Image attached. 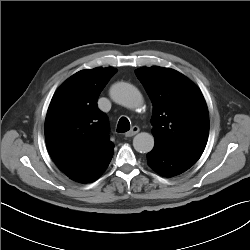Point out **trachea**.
<instances>
[{"label": "trachea", "instance_id": "1", "mask_svg": "<svg viewBox=\"0 0 250 250\" xmlns=\"http://www.w3.org/2000/svg\"><path fill=\"white\" fill-rule=\"evenodd\" d=\"M130 130V122L126 117H121L118 126H117V132L124 133Z\"/></svg>", "mask_w": 250, "mask_h": 250}]
</instances>
